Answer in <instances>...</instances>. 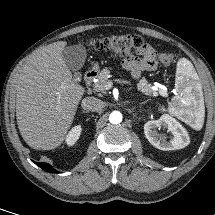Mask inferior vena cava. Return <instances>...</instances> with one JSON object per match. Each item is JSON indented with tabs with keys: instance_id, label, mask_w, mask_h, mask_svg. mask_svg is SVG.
<instances>
[{
	"instance_id": "1",
	"label": "inferior vena cava",
	"mask_w": 215,
	"mask_h": 215,
	"mask_svg": "<svg viewBox=\"0 0 215 215\" xmlns=\"http://www.w3.org/2000/svg\"><path fill=\"white\" fill-rule=\"evenodd\" d=\"M81 105L85 110L96 112L104 107V102L96 97H86Z\"/></svg>"
}]
</instances>
